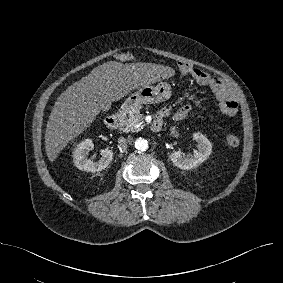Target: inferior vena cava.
<instances>
[{"instance_id":"602c4592","label":"inferior vena cava","mask_w":283,"mask_h":283,"mask_svg":"<svg viewBox=\"0 0 283 283\" xmlns=\"http://www.w3.org/2000/svg\"><path fill=\"white\" fill-rule=\"evenodd\" d=\"M127 144H128V140L125 139L124 137H119L118 138V145L119 148L123 151H125L127 149Z\"/></svg>"}]
</instances>
